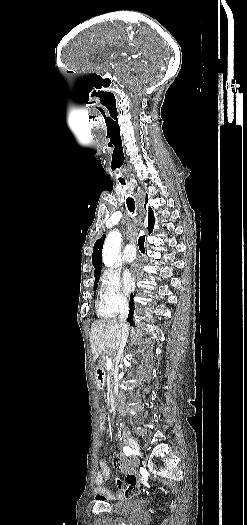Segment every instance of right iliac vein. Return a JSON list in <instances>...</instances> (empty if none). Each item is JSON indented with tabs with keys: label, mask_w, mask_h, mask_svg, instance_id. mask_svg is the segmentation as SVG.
Wrapping results in <instances>:
<instances>
[{
	"label": "right iliac vein",
	"mask_w": 247,
	"mask_h": 525,
	"mask_svg": "<svg viewBox=\"0 0 247 525\" xmlns=\"http://www.w3.org/2000/svg\"><path fill=\"white\" fill-rule=\"evenodd\" d=\"M128 443H129L130 447L133 449V451L139 452L138 443L133 438L128 437Z\"/></svg>",
	"instance_id": "obj_1"
}]
</instances>
